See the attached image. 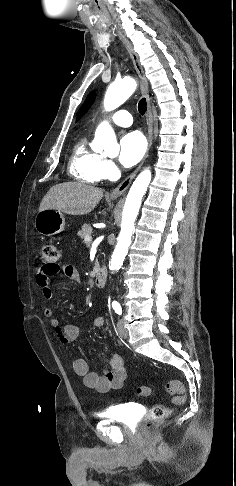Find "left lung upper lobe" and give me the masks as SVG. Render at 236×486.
<instances>
[{
  "mask_svg": "<svg viewBox=\"0 0 236 486\" xmlns=\"http://www.w3.org/2000/svg\"><path fill=\"white\" fill-rule=\"evenodd\" d=\"M94 100H95V92L92 91L87 96L84 104L82 105L81 109L79 110V113H78V116H77V120H79L88 111V109L93 104Z\"/></svg>",
  "mask_w": 236,
  "mask_h": 486,
  "instance_id": "obj_1",
  "label": "left lung upper lobe"
}]
</instances>
